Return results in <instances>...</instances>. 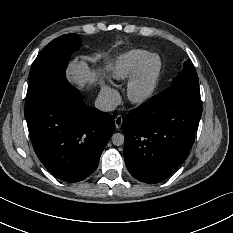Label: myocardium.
I'll use <instances>...</instances> for the list:
<instances>
[{
	"label": "myocardium",
	"instance_id": "f54148a6",
	"mask_svg": "<svg viewBox=\"0 0 233 233\" xmlns=\"http://www.w3.org/2000/svg\"><path fill=\"white\" fill-rule=\"evenodd\" d=\"M155 58H158L161 61L160 70H159L157 76L155 77L150 89L145 94L139 95L137 93V88L140 85V83L142 82L147 70L149 69L152 61ZM165 72H166V64H165L164 58L160 54H157V53L151 54L146 59V61L142 65V67L127 82L126 93H127L128 99L132 103L139 105V106H144V105L148 104L159 93L161 86H162V83H163V80H164Z\"/></svg>",
	"mask_w": 233,
	"mask_h": 233
}]
</instances>
